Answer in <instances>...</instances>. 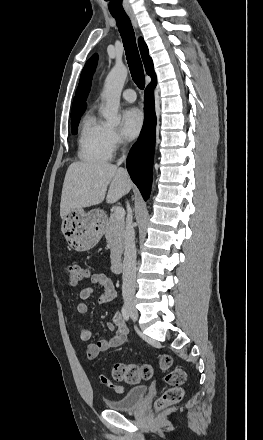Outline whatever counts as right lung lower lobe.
<instances>
[{"label":"right lung lower lobe","mask_w":263,"mask_h":440,"mask_svg":"<svg viewBox=\"0 0 263 440\" xmlns=\"http://www.w3.org/2000/svg\"><path fill=\"white\" fill-rule=\"evenodd\" d=\"M156 78L145 90L144 111L145 119L138 141L131 148L127 158V170L131 179L139 188L144 200H147L151 191L152 165L154 156L156 115L153 88Z\"/></svg>","instance_id":"1"}]
</instances>
